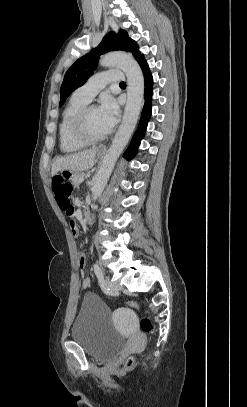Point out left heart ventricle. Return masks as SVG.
<instances>
[{
  "label": "left heart ventricle",
  "mask_w": 247,
  "mask_h": 407,
  "mask_svg": "<svg viewBox=\"0 0 247 407\" xmlns=\"http://www.w3.org/2000/svg\"><path fill=\"white\" fill-rule=\"evenodd\" d=\"M86 124L89 133L93 136H100L106 133L109 128L102 120L97 108L91 109L86 117Z\"/></svg>",
  "instance_id": "left-heart-ventricle-1"
}]
</instances>
